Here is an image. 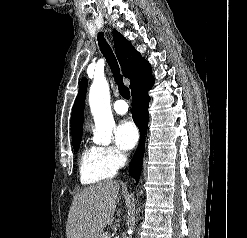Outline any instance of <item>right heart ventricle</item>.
I'll return each mask as SVG.
<instances>
[{
	"mask_svg": "<svg viewBox=\"0 0 247 238\" xmlns=\"http://www.w3.org/2000/svg\"><path fill=\"white\" fill-rule=\"evenodd\" d=\"M114 168L106 160L102 147L87 144L79 158V176L84 185H93L112 178L116 174Z\"/></svg>",
	"mask_w": 247,
	"mask_h": 238,
	"instance_id": "right-heart-ventricle-1",
	"label": "right heart ventricle"
}]
</instances>
